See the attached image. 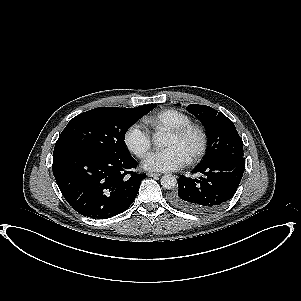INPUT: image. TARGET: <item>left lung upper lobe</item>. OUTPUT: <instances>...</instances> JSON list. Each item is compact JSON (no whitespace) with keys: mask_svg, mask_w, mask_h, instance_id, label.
I'll use <instances>...</instances> for the list:
<instances>
[{"mask_svg":"<svg viewBox=\"0 0 301 301\" xmlns=\"http://www.w3.org/2000/svg\"><path fill=\"white\" fill-rule=\"evenodd\" d=\"M187 110L201 121L209 136L207 154L200 164H208L226 154L244 155L242 139L233 122L223 113L209 106L197 104L189 105Z\"/></svg>","mask_w":301,"mask_h":301,"instance_id":"obj_1","label":"left lung upper lobe"}]
</instances>
